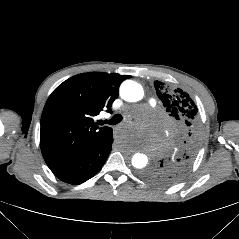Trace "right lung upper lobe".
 <instances>
[{"label": "right lung upper lobe", "mask_w": 239, "mask_h": 239, "mask_svg": "<svg viewBox=\"0 0 239 239\" xmlns=\"http://www.w3.org/2000/svg\"><path fill=\"white\" fill-rule=\"evenodd\" d=\"M130 75L103 72L73 76L49 96L41 116L40 147L48 167L91 146L110 127L95 126L93 116L111 112L119 86Z\"/></svg>", "instance_id": "right-lung-upper-lobe-1"}]
</instances>
